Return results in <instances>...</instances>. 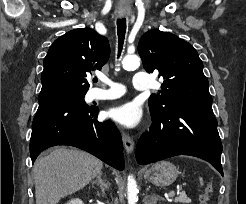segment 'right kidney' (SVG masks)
I'll use <instances>...</instances> for the list:
<instances>
[{
    "mask_svg": "<svg viewBox=\"0 0 246 204\" xmlns=\"http://www.w3.org/2000/svg\"><path fill=\"white\" fill-rule=\"evenodd\" d=\"M66 204H84L83 201L79 198H75L67 202Z\"/></svg>",
    "mask_w": 246,
    "mask_h": 204,
    "instance_id": "obj_1",
    "label": "right kidney"
}]
</instances>
